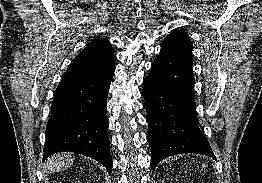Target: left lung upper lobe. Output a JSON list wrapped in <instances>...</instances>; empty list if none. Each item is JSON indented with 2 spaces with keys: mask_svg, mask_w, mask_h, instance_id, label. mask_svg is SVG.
Returning <instances> with one entry per match:
<instances>
[{
  "mask_svg": "<svg viewBox=\"0 0 262 183\" xmlns=\"http://www.w3.org/2000/svg\"><path fill=\"white\" fill-rule=\"evenodd\" d=\"M161 49L178 53L192 58V42L189 38L188 33L181 30L172 31L161 44Z\"/></svg>",
  "mask_w": 262,
  "mask_h": 183,
  "instance_id": "5c2ea615",
  "label": "left lung upper lobe"
}]
</instances>
